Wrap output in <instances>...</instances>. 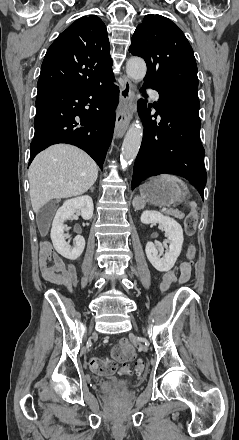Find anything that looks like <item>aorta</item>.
I'll list each match as a JSON object with an SVG mask.
<instances>
[{
    "label": "aorta",
    "instance_id": "aorta-1",
    "mask_svg": "<svg viewBox=\"0 0 239 440\" xmlns=\"http://www.w3.org/2000/svg\"><path fill=\"white\" fill-rule=\"evenodd\" d=\"M126 72L132 80H143L147 66L142 58H130L126 64ZM143 128L140 124H131L122 144L121 160L124 164H131L135 160L141 146Z\"/></svg>",
    "mask_w": 239,
    "mask_h": 440
}]
</instances>
